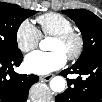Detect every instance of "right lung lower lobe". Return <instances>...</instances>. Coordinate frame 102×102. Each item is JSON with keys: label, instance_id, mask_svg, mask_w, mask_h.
Segmentation results:
<instances>
[{"label": "right lung lower lobe", "instance_id": "obj_1", "mask_svg": "<svg viewBox=\"0 0 102 102\" xmlns=\"http://www.w3.org/2000/svg\"><path fill=\"white\" fill-rule=\"evenodd\" d=\"M23 60L22 53L0 55V98L3 102H26L30 87L36 83L38 76L21 75L14 71Z\"/></svg>", "mask_w": 102, "mask_h": 102}]
</instances>
